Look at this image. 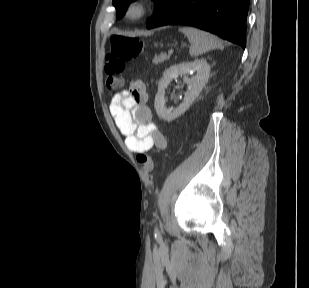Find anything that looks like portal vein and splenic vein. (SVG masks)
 <instances>
[{"instance_id":"obj_1","label":"portal vein and splenic vein","mask_w":309,"mask_h":288,"mask_svg":"<svg viewBox=\"0 0 309 288\" xmlns=\"http://www.w3.org/2000/svg\"><path fill=\"white\" fill-rule=\"evenodd\" d=\"M173 52H174V50H173V49H170V50L168 51V55H169V56L172 55Z\"/></svg>"}]
</instances>
